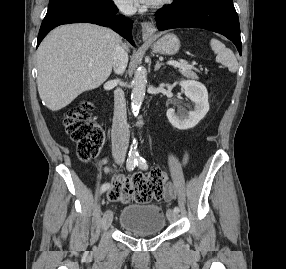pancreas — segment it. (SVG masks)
<instances>
[{"label": "pancreas", "instance_id": "obj_1", "mask_svg": "<svg viewBox=\"0 0 286 269\" xmlns=\"http://www.w3.org/2000/svg\"><path fill=\"white\" fill-rule=\"evenodd\" d=\"M179 72L187 78H191V79H197V75L195 72L188 70V69H183V68H179Z\"/></svg>", "mask_w": 286, "mask_h": 269}]
</instances>
